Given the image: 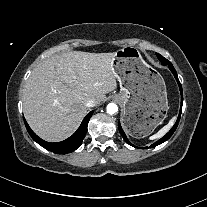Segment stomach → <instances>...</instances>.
Instances as JSON below:
<instances>
[{"label": "stomach", "instance_id": "stomach-1", "mask_svg": "<svg viewBox=\"0 0 207 207\" xmlns=\"http://www.w3.org/2000/svg\"><path fill=\"white\" fill-rule=\"evenodd\" d=\"M113 66L121 86L114 98L123 107L124 125L133 130L135 136L151 133L168 110L162 76L153 72L133 47L116 51Z\"/></svg>", "mask_w": 207, "mask_h": 207}]
</instances>
